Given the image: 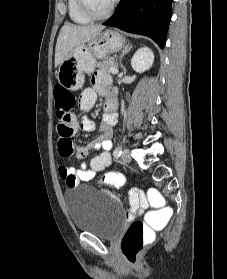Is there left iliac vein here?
<instances>
[{
  "instance_id": "left-iliac-vein-1",
  "label": "left iliac vein",
  "mask_w": 227,
  "mask_h": 279,
  "mask_svg": "<svg viewBox=\"0 0 227 279\" xmlns=\"http://www.w3.org/2000/svg\"><path fill=\"white\" fill-rule=\"evenodd\" d=\"M121 160L124 163H130L131 162V156H130V151L129 149H124L122 156H121Z\"/></svg>"
}]
</instances>
